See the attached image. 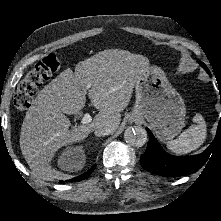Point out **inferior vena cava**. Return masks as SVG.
<instances>
[{
	"instance_id": "obj_1",
	"label": "inferior vena cava",
	"mask_w": 221,
	"mask_h": 221,
	"mask_svg": "<svg viewBox=\"0 0 221 221\" xmlns=\"http://www.w3.org/2000/svg\"><path fill=\"white\" fill-rule=\"evenodd\" d=\"M113 133V128L110 126H98L94 129L95 136H105Z\"/></svg>"
}]
</instances>
